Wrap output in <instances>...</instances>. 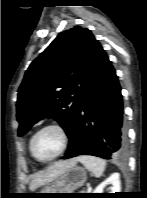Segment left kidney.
<instances>
[{"instance_id": "5707ae66", "label": "left kidney", "mask_w": 147, "mask_h": 198, "mask_svg": "<svg viewBox=\"0 0 147 198\" xmlns=\"http://www.w3.org/2000/svg\"><path fill=\"white\" fill-rule=\"evenodd\" d=\"M112 184V187H110V193H116L121 192V183H120V175L119 173H113L109 178H107L105 181L100 183L96 189L93 191V193H104V188L108 185Z\"/></svg>"}]
</instances>
